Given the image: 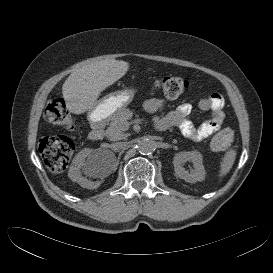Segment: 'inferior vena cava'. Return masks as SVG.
I'll return each instance as SVG.
<instances>
[{
    "instance_id": "1",
    "label": "inferior vena cava",
    "mask_w": 273,
    "mask_h": 273,
    "mask_svg": "<svg viewBox=\"0 0 273 273\" xmlns=\"http://www.w3.org/2000/svg\"><path fill=\"white\" fill-rule=\"evenodd\" d=\"M127 147H128L127 142H116L112 144V148L115 150H123L126 149Z\"/></svg>"
}]
</instances>
